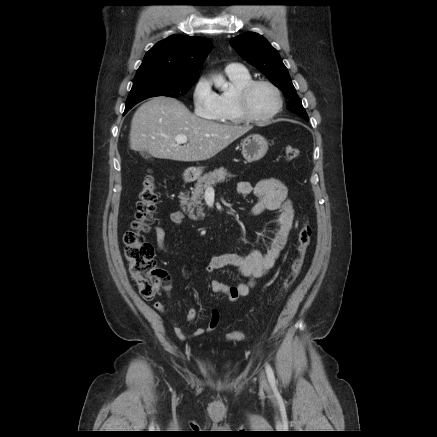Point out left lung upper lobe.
<instances>
[{"mask_svg":"<svg viewBox=\"0 0 437 437\" xmlns=\"http://www.w3.org/2000/svg\"><path fill=\"white\" fill-rule=\"evenodd\" d=\"M230 44L242 58L259 69L270 82L283 91L289 99V111L308 119L279 53L264 37L248 32L232 38Z\"/></svg>","mask_w":437,"mask_h":437,"instance_id":"1","label":"left lung upper lobe"}]
</instances>
